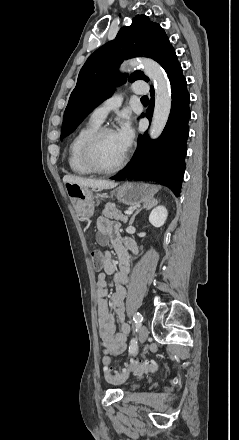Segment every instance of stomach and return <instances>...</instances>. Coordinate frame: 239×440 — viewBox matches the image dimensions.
Masks as SVG:
<instances>
[{"mask_svg": "<svg viewBox=\"0 0 239 440\" xmlns=\"http://www.w3.org/2000/svg\"><path fill=\"white\" fill-rule=\"evenodd\" d=\"M158 186L142 184V182H125L117 188V200L126 206H140L142 202L149 204L157 194ZM67 194L72 200L74 210L81 218H91L94 214L95 198L89 188H80L77 184L67 186Z\"/></svg>", "mask_w": 239, "mask_h": 440, "instance_id": "0dacf381", "label": "stomach"}]
</instances>
